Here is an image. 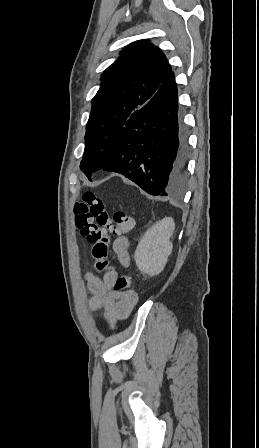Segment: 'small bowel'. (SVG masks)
Returning <instances> with one entry per match:
<instances>
[{
    "label": "small bowel",
    "mask_w": 259,
    "mask_h": 448,
    "mask_svg": "<svg viewBox=\"0 0 259 448\" xmlns=\"http://www.w3.org/2000/svg\"><path fill=\"white\" fill-rule=\"evenodd\" d=\"M130 241L125 236L117 237L112 244L113 251L117 257L118 264L128 267L131 263L129 251ZM117 279V272L109 269L99 278L95 273H88L86 281L92 293L89 303L91 311L102 309L104 317L113 329L117 322L126 319L137 302V295L133 291H117L114 283Z\"/></svg>",
    "instance_id": "c3829d8e"
}]
</instances>
